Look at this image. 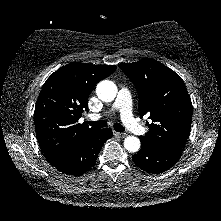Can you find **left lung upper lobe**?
Returning <instances> with one entry per match:
<instances>
[{
	"label": "left lung upper lobe",
	"instance_id": "1",
	"mask_svg": "<svg viewBox=\"0 0 221 221\" xmlns=\"http://www.w3.org/2000/svg\"><path fill=\"white\" fill-rule=\"evenodd\" d=\"M119 67L133 82L139 95V114L149 116V131L140 136L156 147L182 151L190 133L192 103L183 80L154 59Z\"/></svg>",
	"mask_w": 221,
	"mask_h": 221
}]
</instances>
